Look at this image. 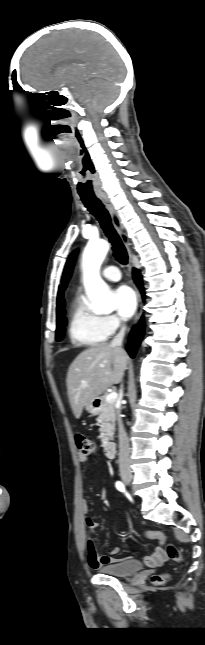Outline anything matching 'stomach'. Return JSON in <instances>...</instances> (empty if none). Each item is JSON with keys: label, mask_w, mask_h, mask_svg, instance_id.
Masks as SVG:
<instances>
[{"label": "stomach", "mask_w": 205, "mask_h": 645, "mask_svg": "<svg viewBox=\"0 0 205 645\" xmlns=\"http://www.w3.org/2000/svg\"><path fill=\"white\" fill-rule=\"evenodd\" d=\"M85 408L88 413L97 415L100 412V400L98 398L92 400Z\"/></svg>", "instance_id": "0dacf381"}]
</instances>
